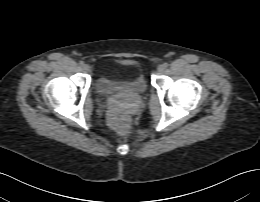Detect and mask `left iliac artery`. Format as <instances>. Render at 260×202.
<instances>
[{
  "label": "left iliac artery",
  "instance_id": "left-iliac-artery-1",
  "mask_svg": "<svg viewBox=\"0 0 260 202\" xmlns=\"http://www.w3.org/2000/svg\"><path fill=\"white\" fill-rule=\"evenodd\" d=\"M163 66H164V68H167L169 66V64L168 63H164Z\"/></svg>",
  "mask_w": 260,
  "mask_h": 202
}]
</instances>
